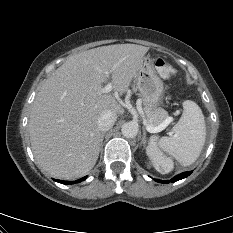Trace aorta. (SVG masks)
Here are the masks:
<instances>
[{"label":"aorta","mask_w":233,"mask_h":233,"mask_svg":"<svg viewBox=\"0 0 233 233\" xmlns=\"http://www.w3.org/2000/svg\"><path fill=\"white\" fill-rule=\"evenodd\" d=\"M121 132L127 138H134L138 134V125L133 122H127L122 125Z\"/></svg>","instance_id":"762f6f07"}]
</instances>
